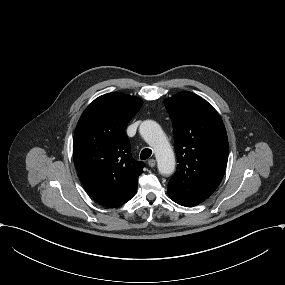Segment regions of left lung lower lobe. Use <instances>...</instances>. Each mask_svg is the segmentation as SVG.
<instances>
[{"instance_id": "left-lung-lower-lobe-1", "label": "left lung lower lobe", "mask_w": 285, "mask_h": 285, "mask_svg": "<svg viewBox=\"0 0 285 285\" xmlns=\"http://www.w3.org/2000/svg\"><path fill=\"white\" fill-rule=\"evenodd\" d=\"M168 194L170 196V198L178 203L179 205H182V206H186V207H193L197 204H199V202H196V201H193L191 199H188V198H185V197H182L180 196L179 194H177L176 192L168 189Z\"/></svg>"}]
</instances>
